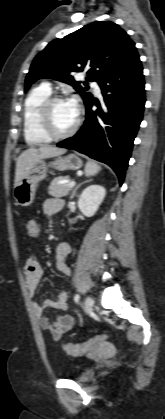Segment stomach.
Masks as SVG:
<instances>
[{"mask_svg": "<svg viewBox=\"0 0 165 419\" xmlns=\"http://www.w3.org/2000/svg\"><path fill=\"white\" fill-rule=\"evenodd\" d=\"M82 165V160L75 154L57 156L49 164L42 160L39 161L29 173L24 176L19 184L14 187V198L16 202L21 206H30L33 203L36 188L39 182L46 178L49 167H53L59 171H65L78 170Z\"/></svg>", "mask_w": 165, "mask_h": 419, "instance_id": "1", "label": "stomach"}]
</instances>
